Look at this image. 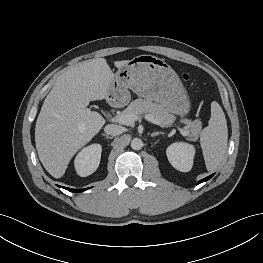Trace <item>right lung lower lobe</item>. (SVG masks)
Masks as SVG:
<instances>
[{"mask_svg": "<svg viewBox=\"0 0 263 263\" xmlns=\"http://www.w3.org/2000/svg\"><path fill=\"white\" fill-rule=\"evenodd\" d=\"M63 188H65V189H67V190H69L71 192H83V191L86 190V189H71V188H66V187H63Z\"/></svg>", "mask_w": 263, "mask_h": 263, "instance_id": "obj_1", "label": "right lung lower lobe"}]
</instances>
